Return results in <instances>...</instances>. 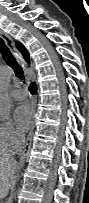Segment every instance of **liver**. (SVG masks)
Listing matches in <instances>:
<instances>
[{"instance_id":"6515ba94","label":"liver","mask_w":89,"mask_h":203,"mask_svg":"<svg viewBox=\"0 0 89 203\" xmlns=\"http://www.w3.org/2000/svg\"><path fill=\"white\" fill-rule=\"evenodd\" d=\"M17 162L9 158L0 159V196L3 198L8 194L11 187L10 179L15 175Z\"/></svg>"}]
</instances>
